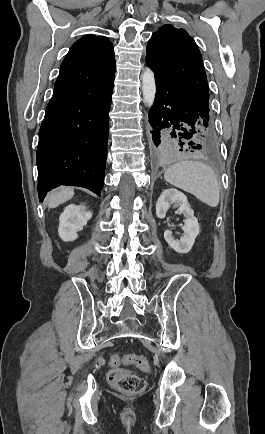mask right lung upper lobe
<instances>
[{
  "instance_id": "cb5924a9",
  "label": "right lung upper lobe",
  "mask_w": 265,
  "mask_h": 434,
  "mask_svg": "<svg viewBox=\"0 0 265 434\" xmlns=\"http://www.w3.org/2000/svg\"><path fill=\"white\" fill-rule=\"evenodd\" d=\"M71 48H85L94 50H113L112 43L107 37L87 35L75 42Z\"/></svg>"
}]
</instances>
